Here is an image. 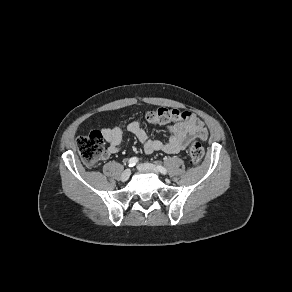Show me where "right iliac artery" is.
<instances>
[{"instance_id": "82829eb1", "label": "right iliac artery", "mask_w": 292, "mask_h": 292, "mask_svg": "<svg viewBox=\"0 0 292 292\" xmlns=\"http://www.w3.org/2000/svg\"><path fill=\"white\" fill-rule=\"evenodd\" d=\"M138 158L137 157H132V158H130L129 159V161H128V166L129 167H133V166H135L137 163H138Z\"/></svg>"}]
</instances>
